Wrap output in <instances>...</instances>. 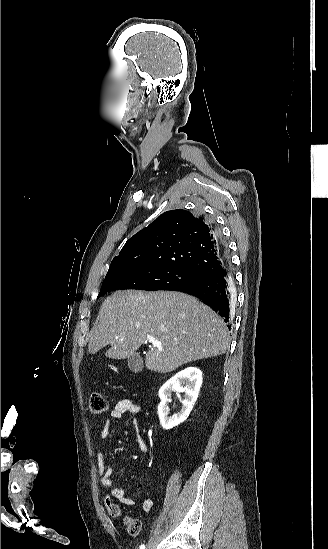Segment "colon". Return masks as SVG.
I'll return each mask as SVG.
<instances>
[{"instance_id": "1", "label": "colon", "mask_w": 328, "mask_h": 549, "mask_svg": "<svg viewBox=\"0 0 328 549\" xmlns=\"http://www.w3.org/2000/svg\"><path fill=\"white\" fill-rule=\"evenodd\" d=\"M89 408L92 413L100 414L107 410V402L99 392H93L89 397ZM104 504L107 512L113 518H122L127 532L136 536L141 531V522L137 518L125 517L122 514L121 508L114 503L109 496L104 499Z\"/></svg>"}]
</instances>
